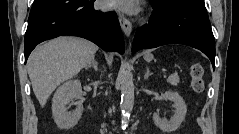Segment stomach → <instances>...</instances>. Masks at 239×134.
I'll return each mask as SVG.
<instances>
[{
    "mask_svg": "<svg viewBox=\"0 0 239 134\" xmlns=\"http://www.w3.org/2000/svg\"><path fill=\"white\" fill-rule=\"evenodd\" d=\"M145 59H146L147 61H151V60L153 59V56H152L151 54H147V55L145 56Z\"/></svg>",
    "mask_w": 239,
    "mask_h": 134,
    "instance_id": "0dacf381",
    "label": "stomach"
}]
</instances>
